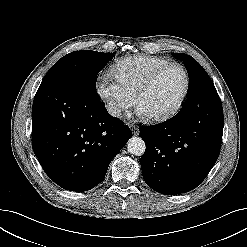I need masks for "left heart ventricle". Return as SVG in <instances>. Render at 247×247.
Instances as JSON below:
<instances>
[{
  "mask_svg": "<svg viewBox=\"0 0 247 247\" xmlns=\"http://www.w3.org/2000/svg\"><path fill=\"white\" fill-rule=\"evenodd\" d=\"M185 86L182 70L172 67L164 71L141 97L139 107L147 115L160 114L170 109L179 99Z\"/></svg>",
  "mask_w": 247,
  "mask_h": 247,
  "instance_id": "b2bd125f",
  "label": "left heart ventricle"
}]
</instances>
